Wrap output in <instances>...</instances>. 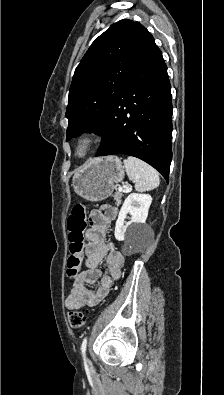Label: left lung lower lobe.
Masks as SVG:
<instances>
[{
    "label": "left lung lower lobe",
    "instance_id": "1",
    "mask_svg": "<svg viewBox=\"0 0 224 395\" xmlns=\"http://www.w3.org/2000/svg\"><path fill=\"white\" fill-rule=\"evenodd\" d=\"M95 155L126 154L157 169L169 181L172 103L167 66L156 47L134 71L110 106Z\"/></svg>",
    "mask_w": 224,
    "mask_h": 395
}]
</instances>
